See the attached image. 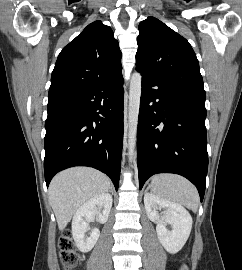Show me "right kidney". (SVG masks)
I'll return each instance as SVG.
<instances>
[{"label":"right kidney","instance_id":"ca27d5eb","mask_svg":"<svg viewBox=\"0 0 242 270\" xmlns=\"http://www.w3.org/2000/svg\"><path fill=\"white\" fill-rule=\"evenodd\" d=\"M112 201L109 193H103L86 201L75 212L72 220V236L81 252H89L100 236V231L97 228L91 229L88 222L95 217L100 223L107 222ZM101 209L103 210L100 211ZM88 231H91L90 236L86 237L85 233Z\"/></svg>","mask_w":242,"mask_h":270}]
</instances>
